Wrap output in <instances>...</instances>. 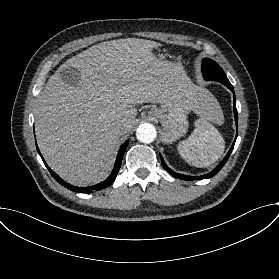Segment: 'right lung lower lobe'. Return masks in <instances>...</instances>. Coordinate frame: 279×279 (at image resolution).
<instances>
[{
    "label": "right lung lower lobe",
    "instance_id": "right-lung-lower-lobe-1",
    "mask_svg": "<svg viewBox=\"0 0 279 279\" xmlns=\"http://www.w3.org/2000/svg\"><path fill=\"white\" fill-rule=\"evenodd\" d=\"M128 146V141H126L121 149L119 150L118 152V155H117V159H116V162H115V166H114V169L113 171L111 172L110 176L103 182L101 183H98L96 185H92V186H87V187H77V186H73V185H70L68 183H66L65 181H63L55 172H53L46 164V162L44 161L38 147H37V150L43 160V162L45 163L46 167L48 168L49 172L51 173V175L54 177V179L59 183L61 184L62 186L66 187L67 189L71 190V191H74V192H78V193H92V192H95V191H100L102 189H105L106 187L110 186L117 174H118V171L120 169V166H121V162H122V158H123V155H124V152L126 150Z\"/></svg>",
    "mask_w": 279,
    "mask_h": 279
}]
</instances>
